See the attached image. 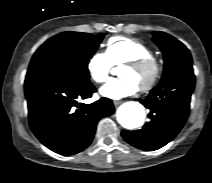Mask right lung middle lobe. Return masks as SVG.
<instances>
[{"label":"right lung middle lobe","instance_id":"1","mask_svg":"<svg viewBox=\"0 0 212 183\" xmlns=\"http://www.w3.org/2000/svg\"><path fill=\"white\" fill-rule=\"evenodd\" d=\"M105 35L69 31L48 39L34 53L26 78L89 80V59Z\"/></svg>","mask_w":212,"mask_h":183}]
</instances>
